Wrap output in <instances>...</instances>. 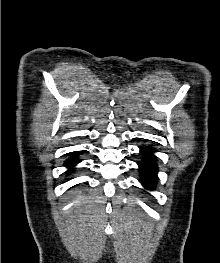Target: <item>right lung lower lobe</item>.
<instances>
[{"label": "right lung lower lobe", "mask_w": 220, "mask_h": 263, "mask_svg": "<svg viewBox=\"0 0 220 263\" xmlns=\"http://www.w3.org/2000/svg\"><path fill=\"white\" fill-rule=\"evenodd\" d=\"M78 162H79L78 160H70V161L65 163V166H73V165L77 164Z\"/></svg>", "instance_id": "right-lung-lower-lobe-1"}]
</instances>
